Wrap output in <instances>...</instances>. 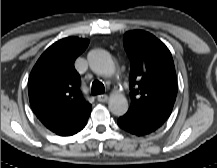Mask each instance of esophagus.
Returning <instances> with one entry per match:
<instances>
[{
  "mask_svg": "<svg viewBox=\"0 0 217 168\" xmlns=\"http://www.w3.org/2000/svg\"><path fill=\"white\" fill-rule=\"evenodd\" d=\"M97 100L99 101V102H107V100H108V96L107 95H105V94H101V95H98L97 96Z\"/></svg>",
  "mask_w": 217,
  "mask_h": 168,
  "instance_id": "obj_1",
  "label": "esophagus"
}]
</instances>
